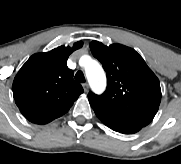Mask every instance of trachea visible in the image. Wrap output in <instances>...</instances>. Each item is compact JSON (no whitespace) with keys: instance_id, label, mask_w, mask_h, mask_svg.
Wrapping results in <instances>:
<instances>
[{"instance_id":"3493384b","label":"trachea","mask_w":181,"mask_h":164,"mask_svg":"<svg viewBox=\"0 0 181 164\" xmlns=\"http://www.w3.org/2000/svg\"><path fill=\"white\" fill-rule=\"evenodd\" d=\"M75 80L80 82V83H84L85 82V76L83 74L82 71H78L76 74H75Z\"/></svg>"}]
</instances>
